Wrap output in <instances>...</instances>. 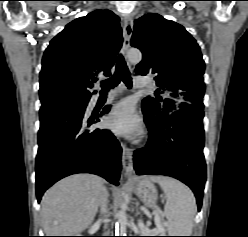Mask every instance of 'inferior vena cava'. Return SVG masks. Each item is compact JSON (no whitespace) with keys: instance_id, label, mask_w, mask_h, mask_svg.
I'll return each mask as SVG.
<instances>
[{"instance_id":"obj_1","label":"inferior vena cava","mask_w":248,"mask_h":237,"mask_svg":"<svg viewBox=\"0 0 248 237\" xmlns=\"http://www.w3.org/2000/svg\"><path fill=\"white\" fill-rule=\"evenodd\" d=\"M107 198H108V192L105 187L102 188L101 194H100V206H101V212L104 216L107 215Z\"/></svg>"}]
</instances>
